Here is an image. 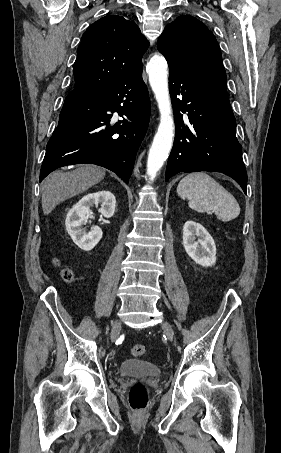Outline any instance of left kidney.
Instances as JSON below:
<instances>
[{
    "instance_id": "obj_1",
    "label": "left kidney",
    "mask_w": 281,
    "mask_h": 453,
    "mask_svg": "<svg viewBox=\"0 0 281 453\" xmlns=\"http://www.w3.org/2000/svg\"><path fill=\"white\" fill-rule=\"evenodd\" d=\"M198 239V241H196ZM184 249L198 265L212 267L216 263V245L200 222L186 220L183 227Z\"/></svg>"
}]
</instances>
